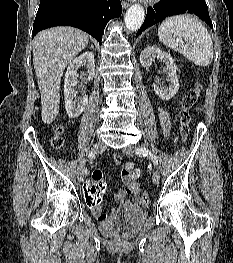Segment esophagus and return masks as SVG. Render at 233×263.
<instances>
[{
    "label": "esophagus",
    "instance_id": "34e87169",
    "mask_svg": "<svg viewBox=\"0 0 233 263\" xmlns=\"http://www.w3.org/2000/svg\"><path fill=\"white\" fill-rule=\"evenodd\" d=\"M122 7L127 9L129 7V3L127 1H122Z\"/></svg>",
    "mask_w": 233,
    "mask_h": 263
}]
</instances>
